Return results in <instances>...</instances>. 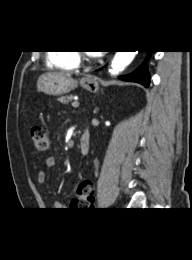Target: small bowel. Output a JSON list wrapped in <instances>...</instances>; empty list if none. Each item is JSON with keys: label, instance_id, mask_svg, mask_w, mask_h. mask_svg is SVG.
<instances>
[{"label": "small bowel", "instance_id": "1", "mask_svg": "<svg viewBox=\"0 0 192 260\" xmlns=\"http://www.w3.org/2000/svg\"><path fill=\"white\" fill-rule=\"evenodd\" d=\"M45 166L47 169H54L56 167V159L54 157H49L46 159ZM46 180V172L40 170L37 174V182L43 184ZM94 199H85L83 201L74 200L71 204L74 208H90L93 206ZM66 207L65 203L60 200H55L52 204V208L55 210H62Z\"/></svg>", "mask_w": 192, "mask_h": 260}]
</instances>
